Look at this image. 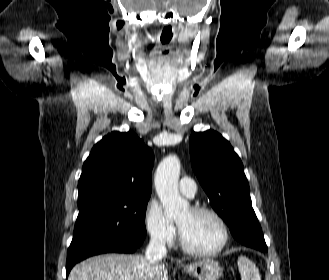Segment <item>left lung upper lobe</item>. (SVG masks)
I'll list each match as a JSON object with an SVG mask.
<instances>
[{
  "instance_id": "5c2ea615",
  "label": "left lung upper lobe",
  "mask_w": 329,
  "mask_h": 280,
  "mask_svg": "<svg viewBox=\"0 0 329 280\" xmlns=\"http://www.w3.org/2000/svg\"><path fill=\"white\" fill-rule=\"evenodd\" d=\"M189 146L192 168L212 208L226 221L231 233L255 222L257 217L243 165L230 143L219 133L208 130L193 132ZM239 242L249 247L266 246L264 237L256 234H248Z\"/></svg>"
}]
</instances>
